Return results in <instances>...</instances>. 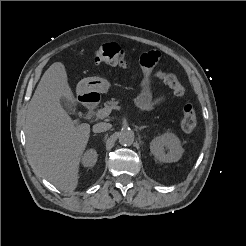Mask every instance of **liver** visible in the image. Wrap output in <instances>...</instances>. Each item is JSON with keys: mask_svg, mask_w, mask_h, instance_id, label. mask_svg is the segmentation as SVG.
Segmentation results:
<instances>
[{"mask_svg": "<svg viewBox=\"0 0 246 246\" xmlns=\"http://www.w3.org/2000/svg\"><path fill=\"white\" fill-rule=\"evenodd\" d=\"M77 102L68 84L65 66L53 63L43 74L28 105L25 134L31 165L58 189L72 192L79 164L90 136V125L75 126L61 105Z\"/></svg>", "mask_w": 246, "mask_h": 246, "instance_id": "obj_1", "label": "liver"}]
</instances>
